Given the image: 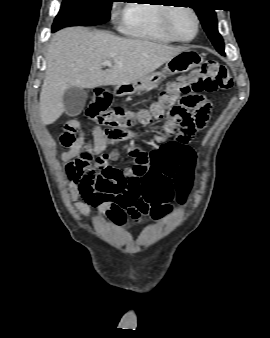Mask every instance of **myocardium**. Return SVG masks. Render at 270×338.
Listing matches in <instances>:
<instances>
[{
	"label": "myocardium",
	"instance_id": "obj_1",
	"mask_svg": "<svg viewBox=\"0 0 270 338\" xmlns=\"http://www.w3.org/2000/svg\"><path fill=\"white\" fill-rule=\"evenodd\" d=\"M178 10H185V11L189 12L193 16V18H194L195 30H194V34L190 38L182 39V38L178 37L175 34L174 30H173V27H172V16ZM162 27H163L164 31L174 41L182 42V43H187V42L193 41L196 38L197 34H198V31H199V17H198V15L196 14V12L192 8L186 7V6L182 5V4L174 5V6H171V8H166L164 10V12H163V20H162Z\"/></svg>",
	"mask_w": 270,
	"mask_h": 338
}]
</instances>
